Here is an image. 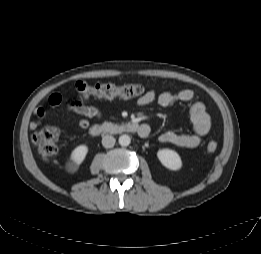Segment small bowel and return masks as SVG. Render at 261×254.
Listing matches in <instances>:
<instances>
[{
	"mask_svg": "<svg viewBox=\"0 0 261 254\" xmlns=\"http://www.w3.org/2000/svg\"><path fill=\"white\" fill-rule=\"evenodd\" d=\"M54 95L59 96L57 94ZM54 95L49 98V104ZM154 100H157L162 107H171L177 103H189L190 118L195 132L194 134L164 132L158 137V141L163 144L174 145L181 149H193L198 147L202 138L210 131L211 121L206 106L202 102L195 101L194 92L189 89H183L180 91L166 90L161 93H157L155 90H150L139 98L137 103L139 106H146ZM59 105L60 104L53 106L50 104L51 107H57ZM66 110L78 117V125L84 131L89 128V119H99L101 117L97 108L88 106L81 101H69L66 104ZM44 115L45 110L43 108L35 109V120L30 123V128H37ZM143 126L149 127L147 124H143ZM149 130L151 131L150 127ZM150 131L149 133H144L141 137H147L150 134Z\"/></svg>",
	"mask_w": 261,
	"mask_h": 254,
	"instance_id": "obj_1",
	"label": "small bowel"
}]
</instances>
